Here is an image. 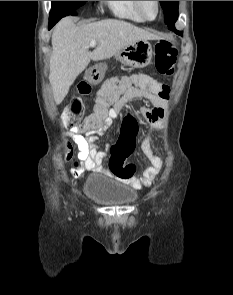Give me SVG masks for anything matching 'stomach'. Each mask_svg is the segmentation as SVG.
Wrapping results in <instances>:
<instances>
[{
	"label": "stomach",
	"mask_w": 233,
	"mask_h": 295,
	"mask_svg": "<svg viewBox=\"0 0 233 295\" xmlns=\"http://www.w3.org/2000/svg\"><path fill=\"white\" fill-rule=\"evenodd\" d=\"M153 49L148 40H138L133 42L116 55V60L132 68H144L151 63ZM106 66L103 64L96 65L86 72V79L97 84L102 81L105 74Z\"/></svg>",
	"instance_id": "stomach-1"
}]
</instances>
